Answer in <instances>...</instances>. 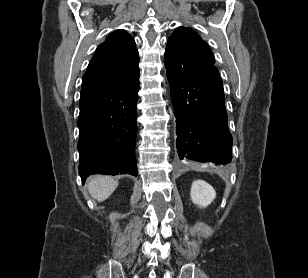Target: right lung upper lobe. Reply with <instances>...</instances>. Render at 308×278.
<instances>
[{
	"mask_svg": "<svg viewBox=\"0 0 308 278\" xmlns=\"http://www.w3.org/2000/svg\"><path fill=\"white\" fill-rule=\"evenodd\" d=\"M134 39L122 29L100 44L83 76L81 97L113 92L133 83L140 74Z\"/></svg>",
	"mask_w": 308,
	"mask_h": 278,
	"instance_id": "cb5924a9",
	"label": "right lung upper lobe"
}]
</instances>
